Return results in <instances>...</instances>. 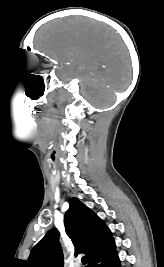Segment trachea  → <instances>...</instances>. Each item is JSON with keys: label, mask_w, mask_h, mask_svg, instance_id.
I'll list each match as a JSON object with an SVG mask.
<instances>
[{"label": "trachea", "mask_w": 164, "mask_h": 267, "mask_svg": "<svg viewBox=\"0 0 164 267\" xmlns=\"http://www.w3.org/2000/svg\"><path fill=\"white\" fill-rule=\"evenodd\" d=\"M82 263L85 265L87 263V260L85 257L82 258Z\"/></svg>", "instance_id": "obj_1"}]
</instances>
